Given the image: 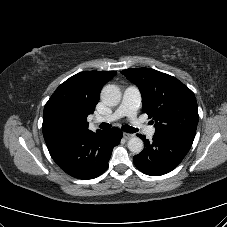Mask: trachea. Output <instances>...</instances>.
<instances>
[{
	"label": "trachea",
	"instance_id": "trachea-1",
	"mask_svg": "<svg viewBox=\"0 0 227 227\" xmlns=\"http://www.w3.org/2000/svg\"><path fill=\"white\" fill-rule=\"evenodd\" d=\"M110 127H111V125L108 124V123H101L100 124V128L101 129H109ZM122 130L125 131V132H127V133H135V132L138 131V129H136L134 127H131L129 125H123L122 126Z\"/></svg>",
	"mask_w": 227,
	"mask_h": 227
}]
</instances>
